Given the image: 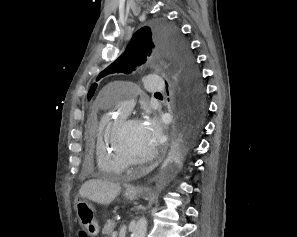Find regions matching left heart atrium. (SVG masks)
<instances>
[{
    "mask_svg": "<svg viewBox=\"0 0 297 237\" xmlns=\"http://www.w3.org/2000/svg\"><path fill=\"white\" fill-rule=\"evenodd\" d=\"M141 131L154 148L159 144L162 137V129L159 120L149 114L144 115L142 120L139 121Z\"/></svg>",
    "mask_w": 297,
    "mask_h": 237,
    "instance_id": "obj_1",
    "label": "left heart atrium"
}]
</instances>
